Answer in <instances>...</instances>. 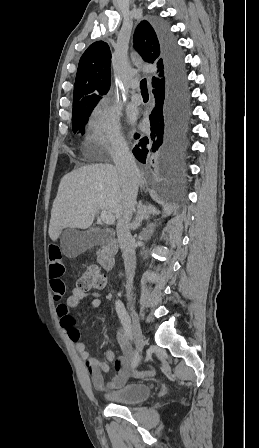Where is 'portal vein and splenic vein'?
Listing matches in <instances>:
<instances>
[{"label": "portal vein and splenic vein", "instance_id": "portal-vein-and-splenic-vein-1", "mask_svg": "<svg viewBox=\"0 0 259 448\" xmlns=\"http://www.w3.org/2000/svg\"><path fill=\"white\" fill-rule=\"evenodd\" d=\"M100 218L104 224H114L115 222L113 214H111V212H107V210H102Z\"/></svg>", "mask_w": 259, "mask_h": 448}]
</instances>
